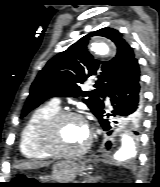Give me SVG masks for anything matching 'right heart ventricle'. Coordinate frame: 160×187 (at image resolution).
<instances>
[{
  "mask_svg": "<svg viewBox=\"0 0 160 187\" xmlns=\"http://www.w3.org/2000/svg\"><path fill=\"white\" fill-rule=\"evenodd\" d=\"M59 111L58 105L49 102L33 111L20 138V150L28 159L41 160L51 157L40 144V132L45 121Z\"/></svg>",
  "mask_w": 160,
  "mask_h": 187,
  "instance_id": "obj_1",
  "label": "right heart ventricle"
}]
</instances>
